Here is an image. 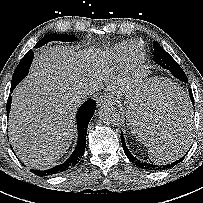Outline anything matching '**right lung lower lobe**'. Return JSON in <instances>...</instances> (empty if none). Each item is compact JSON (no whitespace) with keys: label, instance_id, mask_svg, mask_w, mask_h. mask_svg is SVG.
Returning <instances> with one entry per match:
<instances>
[{"label":"right lung lower lobe","instance_id":"1","mask_svg":"<svg viewBox=\"0 0 203 203\" xmlns=\"http://www.w3.org/2000/svg\"><path fill=\"white\" fill-rule=\"evenodd\" d=\"M34 57V53L32 50L28 51L25 56L22 58V61L26 62V64H31ZM15 87L11 86V91H13ZM7 113L9 114L11 108V96H9L7 101ZM96 109V102L92 99L85 101L77 112V129H78V141L77 146L75 147L72 155L62 164L57 165L51 169L47 170H30L37 176H49L61 173L66 171L72 167H74L82 157L85 146H86V132L89 121L91 120Z\"/></svg>","mask_w":203,"mask_h":203}]
</instances>
